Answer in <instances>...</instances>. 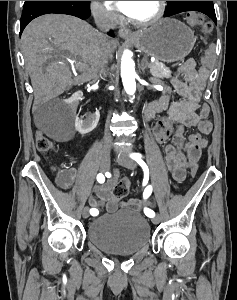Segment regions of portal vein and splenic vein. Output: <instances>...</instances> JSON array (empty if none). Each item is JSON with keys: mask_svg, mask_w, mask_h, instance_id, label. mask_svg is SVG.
Here are the masks:
<instances>
[{"mask_svg": "<svg viewBox=\"0 0 237 300\" xmlns=\"http://www.w3.org/2000/svg\"><path fill=\"white\" fill-rule=\"evenodd\" d=\"M149 65L147 66L149 69H154V68H156L157 66L156 65H154V64H152L151 62L150 63H148ZM152 64V65H151Z\"/></svg>", "mask_w": 237, "mask_h": 300, "instance_id": "18ae733b", "label": "portal vein and splenic vein"}]
</instances>
